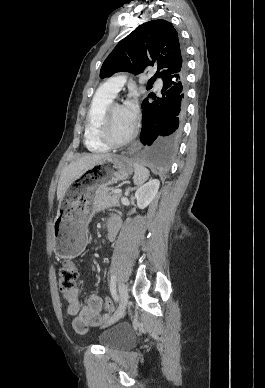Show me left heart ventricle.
<instances>
[{"label":"left heart ventricle","mask_w":265,"mask_h":388,"mask_svg":"<svg viewBox=\"0 0 265 388\" xmlns=\"http://www.w3.org/2000/svg\"><path fill=\"white\" fill-rule=\"evenodd\" d=\"M132 128V123L128 121L123 107H115L108 116V133L116 138L125 136Z\"/></svg>","instance_id":"left-heart-ventricle-1"}]
</instances>
